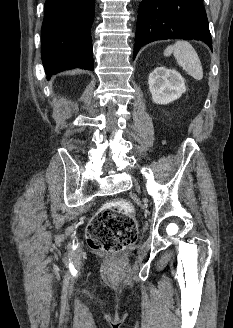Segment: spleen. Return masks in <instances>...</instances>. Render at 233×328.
<instances>
[{
	"mask_svg": "<svg viewBox=\"0 0 233 328\" xmlns=\"http://www.w3.org/2000/svg\"><path fill=\"white\" fill-rule=\"evenodd\" d=\"M173 54L177 64L181 66L190 76L200 81L203 79V69L193 46L188 41H177L173 45H169L164 55L169 56Z\"/></svg>",
	"mask_w": 233,
	"mask_h": 328,
	"instance_id": "obj_1",
	"label": "spleen"
}]
</instances>
